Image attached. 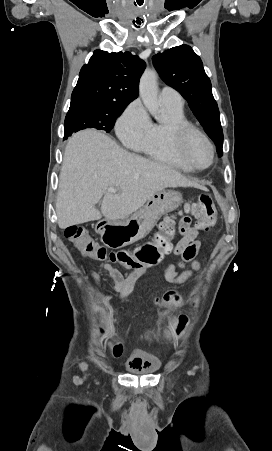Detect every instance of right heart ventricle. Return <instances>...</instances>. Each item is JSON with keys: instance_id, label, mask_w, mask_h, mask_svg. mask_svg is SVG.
I'll return each mask as SVG.
<instances>
[{"instance_id": "e07e8e85", "label": "right heart ventricle", "mask_w": 272, "mask_h": 451, "mask_svg": "<svg viewBox=\"0 0 272 451\" xmlns=\"http://www.w3.org/2000/svg\"><path fill=\"white\" fill-rule=\"evenodd\" d=\"M162 104L168 112V121L151 124L146 138L134 147L155 160L180 167L176 149L168 139L167 132L171 122H186V120L182 110H177L164 102Z\"/></svg>"}]
</instances>
